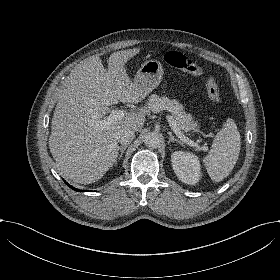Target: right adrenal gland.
I'll list each match as a JSON object with an SVG mask.
<instances>
[{"mask_svg": "<svg viewBox=\"0 0 280 280\" xmlns=\"http://www.w3.org/2000/svg\"><path fill=\"white\" fill-rule=\"evenodd\" d=\"M126 148H127L126 145H122V146L120 147V154H119L118 159H121V157L123 156V153H124V151L126 150ZM116 162H117V160L115 161V163H116Z\"/></svg>", "mask_w": 280, "mask_h": 280, "instance_id": "obj_1", "label": "right adrenal gland"}]
</instances>
